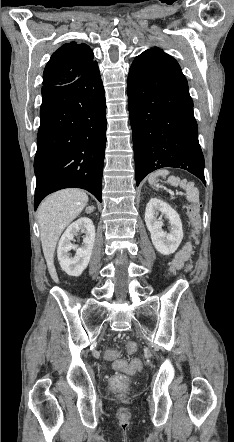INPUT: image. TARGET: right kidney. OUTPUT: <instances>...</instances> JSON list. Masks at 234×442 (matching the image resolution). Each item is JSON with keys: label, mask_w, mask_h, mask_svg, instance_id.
<instances>
[{"label": "right kidney", "mask_w": 234, "mask_h": 442, "mask_svg": "<svg viewBox=\"0 0 234 442\" xmlns=\"http://www.w3.org/2000/svg\"><path fill=\"white\" fill-rule=\"evenodd\" d=\"M85 233L83 245L77 247L72 244L74 237L79 232ZM95 241V227L90 218L82 217L68 226L62 235L57 249V256L61 268L70 276L78 277L87 268ZM76 250L74 257L70 256V251Z\"/></svg>", "instance_id": "1"}]
</instances>
